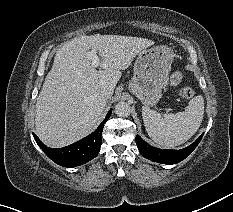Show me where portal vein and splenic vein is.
I'll return each instance as SVG.
<instances>
[{
    "label": "portal vein and splenic vein",
    "mask_w": 233,
    "mask_h": 212,
    "mask_svg": "<svg viewBox=\"0 0 233 212\" xmlns=\"http://www.w3.org/2000/svg\"><path fill=\"white\" fill-rule=\"evenodd\" d=\"M87 56L92 60V67L96 68L100 64V58L98 57L96 50L88 51Z\"/></svg>",
    "instance_id": "portal-vein-and-splenic-vein-1"
}]
</instances>
